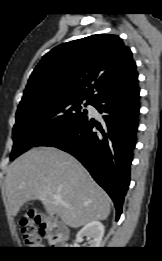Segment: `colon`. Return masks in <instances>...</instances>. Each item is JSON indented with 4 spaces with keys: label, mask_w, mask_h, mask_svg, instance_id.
Here are the masks:
<instances>
[{
    "label": "colon",
    "mask_w": 162,
    "mask_h": 261,
    "mask_svg": "<svg viewBox=\"0 0 162 261\" xmlns=\"http://www.w3.org/2000/svg\"><path fill=\"white\" fill-rule=\"evenodd\" d=\"M20 228L25 245L40 248L46 244L59 246L64 242L62 227L52 216L42 217L34 210L25 213L20 219Z\"/></svg>",
    "instance_id": "1"
}]
</instances>
